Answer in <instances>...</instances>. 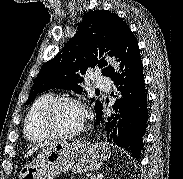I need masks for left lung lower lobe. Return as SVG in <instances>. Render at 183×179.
<instances>
[{"instance_id": "obj_1", "label": "left lung lower lobe", "mask_w": 183, "mask_h": 179, "mask_svg": "<svg viewBox=\"0 0 183 179\" xmlns=\"http://www.w3.org/2000/svg\"><path fill=\"white\" fill-rule=\"evenodd\" d=\"M117 58L123 73H114L113 69L109 77L121 92V98L113 106L120 114H112L107 118L105 130L109 142L139 159L147 127L148 108L140 51L131 30L124 36ZM102 115V111L96 115V125L101 123Z\"/></svg>"}]
</instances>
